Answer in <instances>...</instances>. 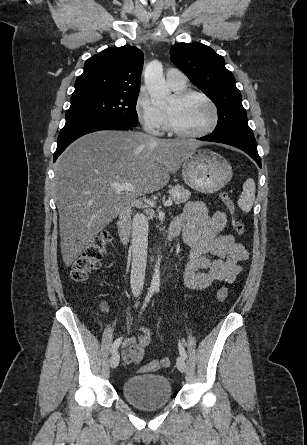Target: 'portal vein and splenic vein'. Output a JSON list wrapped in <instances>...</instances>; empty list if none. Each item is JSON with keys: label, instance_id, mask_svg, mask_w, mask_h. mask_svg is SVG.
<instances>
[{"label": "portal vein and splenic vein", "instance_id": "1", "mask_svg": "<svg viewBox=\"0 0 307 445\" xmlns=\"http://www.w3.org/2000/svg\"><path fill=\"white\" fill-rule=\"evenodd\" d=\"M111 186L113 188H116V190H130V192H136V188L132 182H111ZM147 204H150V206H155L154 200H147V198H143ZM173 204V200H165L163 202V206H171Z\"/></svg>", "mask_w": 307, "mask_h": 445}]
</instances>
